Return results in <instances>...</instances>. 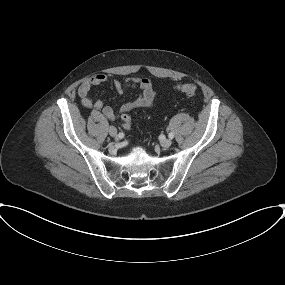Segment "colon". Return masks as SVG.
<instances>
[{
  "mask_svg": "<svg viewBox=\"0 0 285 285\" xmlns=\"http://www.w3.org/2000/svg\"><path fill=\"white\" fill-rule=\"evenodd\" d=\"M177 89L189 97H193L196 95V86L191 83L179 84L177 86ZM122 121H123V126L126 129H129L131 127V117L129 115L124 114L122 116Z\"/></svg>",
  "mask_w": 285,
  "mask_h": 285,
  "instance_id": "obj_1",
  "label": "colon"
}]
</instances>
